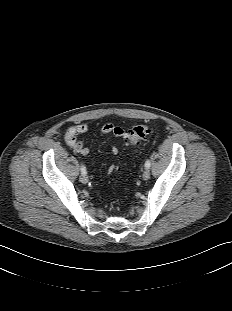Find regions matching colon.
I'll list each match as a JSON object with an SVG mask.
<instances>
[{
  "mask_svg": "<svg viewBox=\"0 0 232 311\" xmlns=\"http://www.w3.org/2000/svg\"><path fill=\"white\" fill-rule=\"evenodd\" d=\"M152 133L150 127L146 125H136L125 134L126 141L133 146H138Z\"/></svg>",
  "mask_w": 232,
  "mask_h": 311,
  "instance_id": "obj_1",
  "label": "colon"
}]
</instances>
